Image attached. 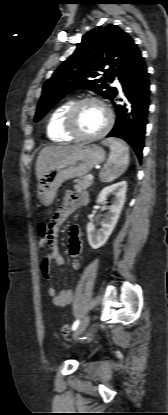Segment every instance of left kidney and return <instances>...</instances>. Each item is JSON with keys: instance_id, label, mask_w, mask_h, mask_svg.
<instances>
[{"instance_id": "left-kidney-1", "label": "left kidney", "mask_w": 168, "mask_h": 415, "mask_svg": "<svg viewBox=\"0 0 168 415\" xmlns=\"http://www.w3.org/2000/svg\"><path fill=\"white\" fill-rule=\"evenodd\" d=\"M126 191L127 183L121 181L103 188L99 193L97 203H106L109 195H114L115 199L113 204L107 208L108 212L105 219L101 222L100 230L96 231L92 222L87 224V238L93 249H98L103 246L113 232L125 203Z\"/></svg>"}]
</instances>
